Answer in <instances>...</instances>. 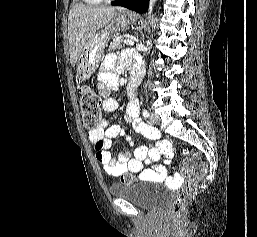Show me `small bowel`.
<instances>
[{
    "mask_svg": "<svg viewBox=\"0 0 257 237\" xmlns=\"http://www.w3.org/2000/svg\"><path fill=\"white\" fill-rule=\"evenodd\" d=\"M125 66L126 63L118 62L116 55L113 53L106 55L103 60L98 76V90L103 97V109L106 112L111 113L119 109V102L110 97L109 93L118 88L117 74ZM132 66L138 65L134 64ZM139 114L138 101L135 99L130 100L126 108V121L131 122L137 132L155 141L156 146L142 145L134 148L133 158L130 157V152L127 150H122L116 157H113L110 148L114 138L122 136L131 145H133V142L122 126L112 125L108 119H103L96 129L88 132L89 141L95 145L96 159L103 166L105 172L112 176H120L130 172L139 174L144 180L153 182L167 181L173 187L178 186L182 182V177L178 174L170 175L167 168L172 157L170 142L162 138L157 130L143 123ZM159 159H162V163L150 168H144L145 164H151Z\"/></svg>",
    "mask_w": 257,
    "mask_h": 237,
    "instance_id": "1",
    "label": "small bowel"
}]
</instances>
